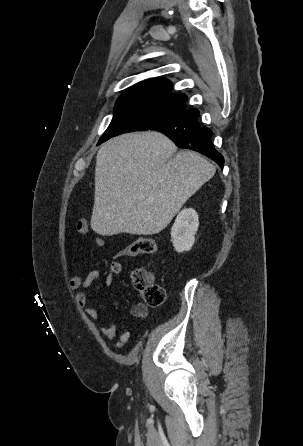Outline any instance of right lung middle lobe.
Masks as SVG:
<instances>
[{
  "label": "right lung middle lobe",
  "instance_id": "dd1d6c3e",
  "mask_svg": "<svg viewBox=\"0 0 303 446\" xmlns=\"http://www.w3.org/2000/svg\"><path fill=\"white\" fill-rule=\"evenodd\" d=\"M186 107V98H175L162 110H151L142 107L115 106L113 119L100 138L98 145L113 136L141 130L156 119L179 111Z\"/></svg>",
  "mask_w": 303,
  "mask_h": 446
}]
</instances>
